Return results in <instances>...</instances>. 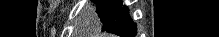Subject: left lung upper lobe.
Returning a JSON list of instances; mask_svg holds the SVG:
<instances>
[{
	"label": "left lung upper lobe",
	"mask_w": 219,
	"mask_h": 37,
	"mask_svg": "<svg viewBox=\"0 0 219 37\" xmlns=\"http://www.w3.org/2000/svg\"><path fill=\"white\" fill-rule=\"evenodd\" d=\"M97 5V13L102 22V29L106 31L114 22L121 6V0H93Z\"/></svg>",
	"instance_id": "obj_1"
}]
</instances>
